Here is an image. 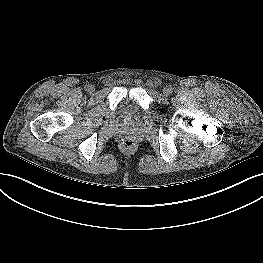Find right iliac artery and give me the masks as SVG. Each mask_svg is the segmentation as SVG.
<instances>
[{"instance_id": "82829eb1", "label": "right iliac artery", "mask_w": 263, "mask_h": 263, "mask_svg": "<svg viewBox=\"0 0 263 263\" xmlns=\"http://www.w3.org/2000/svg\"><path fill=\"white\" fill-rule=\"evenodd\" d=\"M85 89L89 91V85H86V86H85Z\"/></svg>"}]
</instances>
